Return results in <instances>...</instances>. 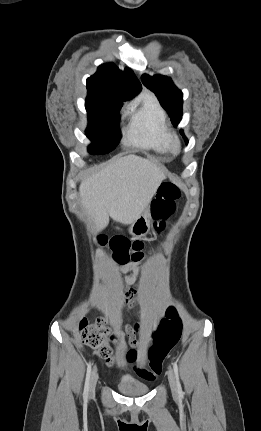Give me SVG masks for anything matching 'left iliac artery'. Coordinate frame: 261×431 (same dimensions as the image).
<instances>
[{
  "label": "left iliac artery",
  "mask_w": 261,
  "mask_h": 431,
  "mask_svg": "<svg viewBox=\"0 0 261 431\" xmlns=\"http://www.w3.org/2000/svg\"><path fill=\"white\" fill-rule=\"evenodd\" d=\"M173 369H174V373H175V376H176L177 391L181 395L182 394V388H181V384H180V381H179L178 366H177L176 362H173Z\"/></svg>",
  "instance_id": "left-iliac-artery-1"
}]
</instances>
